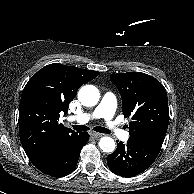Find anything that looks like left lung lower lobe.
Instances as JSON below:
<instances>
[{
    "label": "left lung lower lobe",
    "mask_w": 194,
    "mask_h": 194,
    "mask_svg": "<svg viewBox=\"0 0 194 194\" xmlns=\"http://www.w3.org/2000/svg\"><path fill=\"white\" fill-rule=\"evenodd\" d=\"M117 149L107 157L109 169L122 177H134L145 171L157 158L160 149L134 137L128 143L117 142Z\"/></svg>",
    "instance_id": "left-lung-lower-lobe-1"
}]
</instances>
